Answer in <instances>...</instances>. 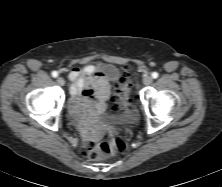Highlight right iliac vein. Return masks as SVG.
Wrapping results in <instances>:
<instances>
[{
	"instance_id": "right-iliac-vein-1",
	"label": "right iliac vein",
	"mask_w": 222,
	"mask_h": 187,
	"mask_svg": "<svg viewBox=\"0 0 222 187\" xmlns=\"http://www.w3.org/2000/svg\"><path fill=\"white\" fill-rule=\"evenodd\" d=\"M57 83L60 85V86H63L65 84V80L62 78V77H58L57 78Z\"/></svg>"
}]
</instances>
